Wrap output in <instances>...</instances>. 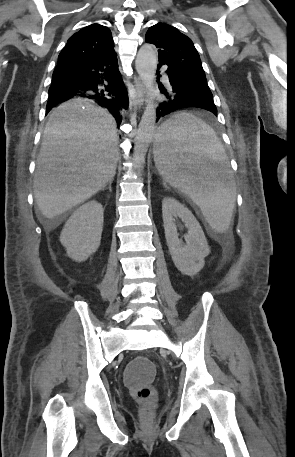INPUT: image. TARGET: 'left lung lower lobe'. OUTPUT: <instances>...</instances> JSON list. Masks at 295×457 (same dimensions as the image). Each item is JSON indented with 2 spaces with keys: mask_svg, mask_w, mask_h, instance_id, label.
<instances>
[{
  "mask_svg": "<svg viewBox=\"0 0 295 457\" xmlns=\"http://www.w3.org/2000/svg\"><path fill=\"white\" fill-rule=\"evenodd\" d=\"M164 64L168 65L159 60L158 70ZM158 70L157 73H159ZM166 73L169 78L167 89L159 84L160 91L166 96V100L157 108V120L172 111L188 107L206 109L217 116V109L209 88L206 86L192 87L181 78L182 71L170 65H168ZM198 77L201 76H194L195 79Z\"/></svg>",
  "mask_w": 295,
  "mask_h": 457,
  "instance_id": "0a47b994",
  "label": "left lung lower lobe"
}]
</instances>
